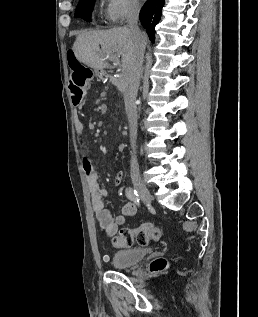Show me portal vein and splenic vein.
Returning a JSON list of instances; mask_svg holds the SVG:
<instances>
[{
	"label": "portal vein and splenic vein",
	"mask_w": 258,
	"mask_h": 317,
	"mask_svg": "<svg viewBox=\"0 0 258 317\" xmlns=\"http://www.w3.org/2000/svg\"><path fill=\"white\" fill-rule=\"evenodd\" d=\"M118 56H116V58H118ZM107 58H109V60H113V64H119L118 60H116V58H113V56H107Z\"/></svg>",
	"instance_id": "portal-vein-and-splenic-vein-1"
}]
</instances>
